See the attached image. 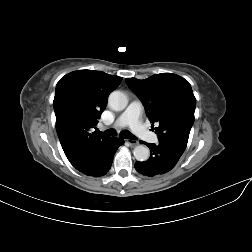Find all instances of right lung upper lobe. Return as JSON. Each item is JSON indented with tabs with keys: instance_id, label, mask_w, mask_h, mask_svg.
<instances>
[{
	"instance_id": "obj_1",
	"label": "right lung upper lobe",
	"mask_w": 252,
	"mask_h": 252,
	"mask_svg": "<svg viewBox=\"0 0 252 252\" xmlns=\"http://www.w3.org/2000/svg\"><path fill=\"white\" fill-rule=\"evenodd\" d=\"M121 80L122 77L102 71L79 70L65 75L57 83L53 101L56 130L73 166L109 139L89 130L97 124L109 94Z\"/></svg>"
}]
</instances>
